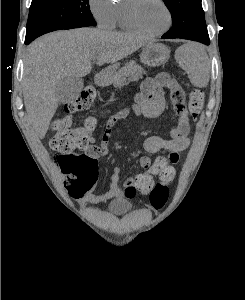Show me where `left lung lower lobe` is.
Instances as JSON below:
<instances>
[{
	"instance_id": "1",
	"label": "left lung lower lobe",
	"mask_w": 245,
	"mask_h": 300,
	"mask_svg": "<svg viewBox=\"0 0 245 300\" xmlns=\"http://www.w3.org/2000/svg\"><path fill=\"white\" fill-rule=\"evenodd\" d=\"M162 38H166V39H170V38H183V39H189V40H194V41H199L202 42L204 44H209L210 40H209V36L207 32H198L196 34L193 35H183V36H162Z\"/></svg>"
}]
</instances>
